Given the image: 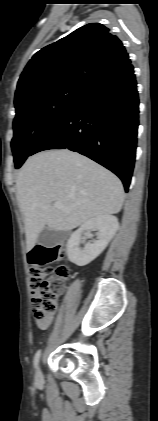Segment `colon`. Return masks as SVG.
Instances as JSON below:
<instances>
[{
  "label": "colon",
  "mask_w": 158,
  "mask_h": 421,
  "mask_svg": "<svg viewBox=\"0 0 158 421\" xmlns=\"http://www.w3.org/2000/svg\"><path fill=\"white\" fill-rule=\"evenodd\" d=\"M63 251L60 244L50 247L38 245L28 253L32 313L36 320H45L56 312L68 269L64 265L52 269L50 264L61 257Z\"/></svg>",
  "instance_id": "obj_1"
}]
</instances>
